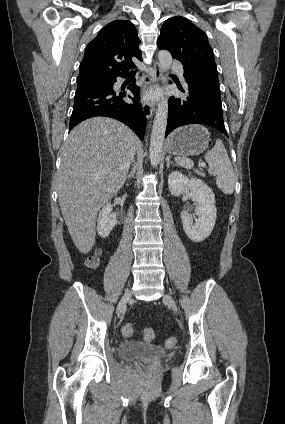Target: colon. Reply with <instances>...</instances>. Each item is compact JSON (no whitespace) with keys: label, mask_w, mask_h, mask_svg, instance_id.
<instances>
[{"label":"colon","mask_w":285,"mask_h":424,"mask_svg":"<svg viewBox=\"0 0 285 424\" xmlns=\"http://www.w3.org/2000/svg\"><path fill=\"white\" fill-rule=\"evenodd\" d=\"M99 263H100V257H99V254L98 253H96V254L88 257L87 260H86V266L88 268H90V269L97 268L99 266ZM133 331H134L133 324L132 323H127V324L124 325L123 330H122V333H123V335L125 337H129V336H131L133 334ZM154 337H155V333H154V330L152 328H146L143 331V338L146 341H152L154 339ZM167 344L169 346L175 345L176 344V339L174 337H170L167 340Z\"/></svg>","instance_id":"colon-1"}]
</instances>
